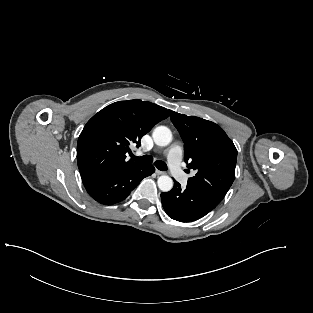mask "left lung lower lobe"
Segmentation results:
<instances>
[{
    "label": "left lung lower lobe",
    "mask_w": 313,
    "mask_h": 313,
    "mask_svg": "<svg viewBox=\"0 0 313 313\" xmlns=\"http://www.w3.org/2000/svg\"><path fill=\"white\" fill-rule=\"evenodd\" d=\"M221 198L196 189L187 184L182 189L180 184L174 180L171 191L161 193V201L165 212L174 220L190 222L198 220L213 210Z\"/></svg>",
    "instance_id": "obj_1"
}]
</instances>
